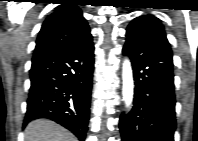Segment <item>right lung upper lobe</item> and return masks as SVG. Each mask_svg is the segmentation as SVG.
Instances as JSON below:
<instances>
[{
	"instance_id": "obj_1",
	"label": "right lung upper lobe",
	"mask_w": 198,
	"mask_h": 141,
	"mask_svg": "<svg viewBox=\"0 0 198 141\" xmlns=\"http://www.w3.org/2000/svg\"><path fill=\"white\" fill-rule=\"evenodd\" d=\"M89 31V26L76 4L64 3L44 21L33 58L68 45Z\"/></svg>"
}]
</instances>
